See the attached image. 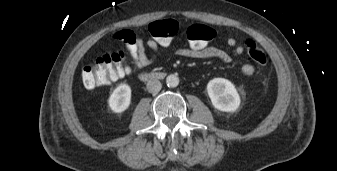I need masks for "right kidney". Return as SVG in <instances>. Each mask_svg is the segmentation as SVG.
Listing matches in <instances>:
<instances>
[{
    "label": "right kidney",
    "instance_id": "1",
    "mask_svg": "<svg viewBox=\"0 0 337 171\" xmlns=\"http://www.w3.org/2000/svg\"><path fill=\"white\" fill-rule=\"evenodd\" d=\"M131 102V88L127 84L119 85L109 98V107L115 113L125 111Z\"/></svg>",
    "mask_w": 337,
    "mask_h": 171
}]
</instances>
